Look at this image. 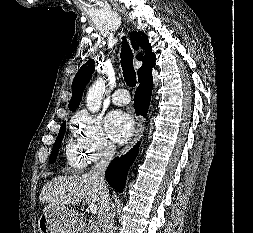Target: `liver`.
Wrapping results in <instances>:
<instances>
[{
	"instance_id": "6515ba94",
	"label": "liver",
	"mask_w": 253,
	"mask_h": 233,
	"mask_svg": "<svg viewBox=\"0 0 253 233\" xmlns=\"http://www.w3.org/2000/svg\"><path fill=\"white\" fill-rule=\"evenodd\" d=\"M100 183L89 173L79 176H59L47 182L40 193V202L66 205L99 201Z\"/></svg>"
}]
</instances>
